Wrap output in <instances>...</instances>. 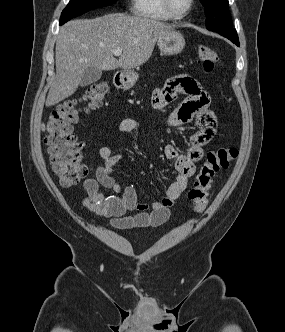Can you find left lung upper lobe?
I'll return each mask as SVG.
<instances>
[{
	"instance_id": "left-lung-upper-lobe-1",
	"label": "left lung upper lobe",
	"mask_w": 285,
	"mask_h": 332,
	"mask_svg": "<svg viewBox=\"0 0 285 332\" xmlns=\"http://www.w3.org/2000/svg\"><path fill=\"white\" fill-rule=\"evenodd\" d=\"M205 8L206 27L221 35L237 36L229 12L228 0H200Z\"/></svg>"
}]
</instances>
